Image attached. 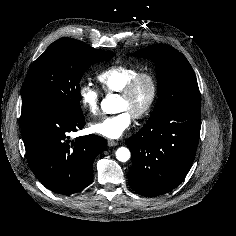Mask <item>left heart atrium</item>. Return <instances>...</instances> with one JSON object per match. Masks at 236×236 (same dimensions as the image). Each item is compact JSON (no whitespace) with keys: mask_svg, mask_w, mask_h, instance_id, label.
Returning <instances> with one entry per match:
<instances>
[{"mask_svg":"<svg viewBox=\"0 0 236 236\" xmlns=\"http://www.w3.org/2000/svg\"><path fill=\"white\" fill-rule=\"evenodd\" d=\"M132 121L133 115L126 110H122L115 115L93 123L92 129L107 138L117 139L130 128Z\"/></svg>","mask_w":236,"mask_h":236,"instance_id":"39dd6f15","label":"left heart atrium"}]
</instances>
